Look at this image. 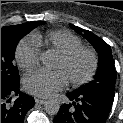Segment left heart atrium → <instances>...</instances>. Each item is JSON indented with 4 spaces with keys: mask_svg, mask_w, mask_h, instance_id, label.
Segmentation results:
<instances>
[{
    "mask_svg": "<svg viewBox=\"0 0 123 123\" xmlns=\"http://www.w3.org/2000/svg\"><path fill=\"white\" fill-rule=\"evenodd\" d=\"M67 82V76L60 69H39L26 76L24 86L30 94L47 98L61 90Z\"/></svg>",
    "mask_w": 123,
    "mask_h": 123,
    "instance_id": "1",
    "label": "left heart atrium"
}]
</instances>
